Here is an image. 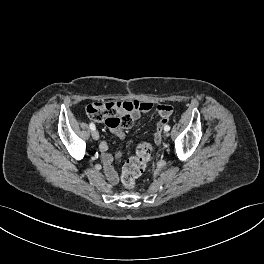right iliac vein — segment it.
<instances>
[{
  "instance_id": "right-iliac-vein-1",
  "label": "right iliac vein",
  "mask_w": 264,
  "mask_h": 264,
  "mask_svg": "<svg viewBox=\"0 0 264 264\" xmlns=\"http://www.w3.org/2000/svg\"><path fill=\"white\" fill-rule=\"evenodd\" d=\"M92 138H93L94 140H98V139H99V133H98L97 130H93V131H92Z\"/></svg>"
}]
</instances>
